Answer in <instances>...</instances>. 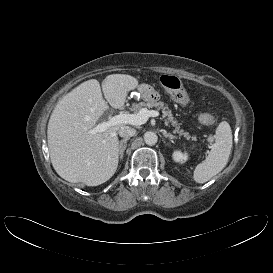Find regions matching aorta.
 <instances>
[{
  "instance_id": "1",
  "label": "aorta",
  "mask_w": 273,
  "mask_h": 273,
  "mask_svg": "<svg viewBox=\"0 0 273 273\" xmlns=\"http://www.w3.org/2000/svg\"><path fill=\"white\" fill-rule=\"evenodd\" d=\"M144 141L147 145H154L158 141V136L155 132L147 131L144 134Z\"/></svg>"
}]
</instances>
